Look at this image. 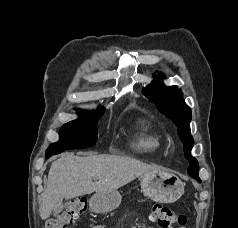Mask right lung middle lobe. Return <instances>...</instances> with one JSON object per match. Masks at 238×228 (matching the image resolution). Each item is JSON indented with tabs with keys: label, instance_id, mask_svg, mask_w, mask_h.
<instances>
[{
	"label": "right lung middle lobe",
	"instance_id": "dd1d6c3e",
	"mask_svg": "<svg viewBox=\"0 0 238 228\" xmlns=\"http://www.w3.org/2000/svg\"><path fill=\"white\" fill-rule=\"evenodd\" d=\"M104 111V108H100L97 113L79 114V119L63 125L59 133V141L51 144L46 154H59L65 150L93 146L98 134L95 125Z\"/></svg>",
	"mask_w": 238,
	"mask_h": 228
}]
</instances>
